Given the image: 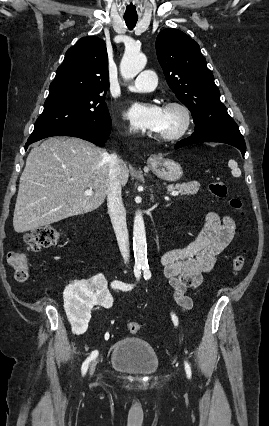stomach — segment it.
I'll use <instances>...</instances> for the list:
<instances>
[{
    "instance_id": "0dacf381",
    "label": "stomach",
    "mask_w": 269,
    "mask_h": 426,
    "mask_svg": "<svg viewBox=\"0 0 269 426\" xmlns=\"http://www.w3.org/2000/svg\"><path fill=\"white\" fill-rule=\"evenodd\" d=\"M149 167L159 178L166 181H177L183 175L181 165L168 158H156L149 163Z\"/></svg>"
}]
</instances>
